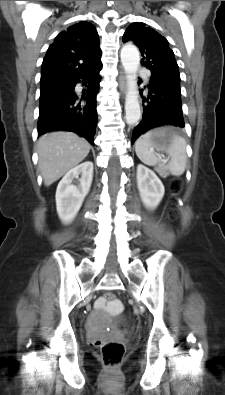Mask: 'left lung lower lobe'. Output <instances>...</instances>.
Wrapping results in <instances>:
<instances>
[{
    "mask_svg": "<svg viewBox=\"0 0 225 395\" xmlns=\"http://www.w3.org/2000/svg\"><path fill=\"white\" fill-rule=\"evenodd\" d=\"M148 96H141L143 119L135 127L132 143L146 131L162 125L184 127L182 115L180 80L162 74H151Z\"/></svg>",
    "mask_w": 225,
    "mask_h": 395,
    "instance_id": "obj_1",
    "label": "left lung lower lobe"
}]
</instances>
